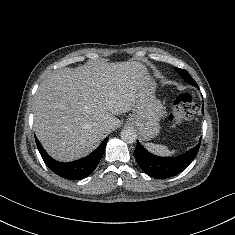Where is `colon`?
<instances>
[{
  "instance_id": "obj_1",
  "label": "colon",
  "mask_w": 235,
  "mask_h": 235,
  "mask_svg": "<svg viewBox=\"0 0 235 235\" xmlns=\"http://www.w3.org/2000/svg\"><path fill=\"white\" fill-rule=\"evenodd\" d=\"M195 112L196 103L193 93H183L173 101L169 121L174 125H179L192 119Z\"/></svg>"
}]
</instances>
